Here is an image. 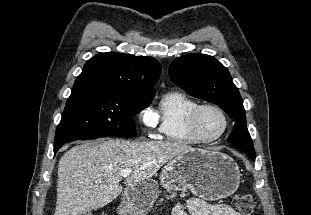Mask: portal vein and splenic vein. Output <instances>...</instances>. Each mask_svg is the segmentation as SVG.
<instances>
[{"instance_id": "portal-vein-and-splenic-vein-1", "label": "portal vein and splenic vein", "mask_w": 311, "mask_h": 215, "mask_svg": "<svg viewBox=\"0 0 311 215\" xmlns=\"http://www.w3.org/2000/svg\"><path fill=\"white\" fill-rule=\"evenodd\" d=\"M131 173H132L131 170H123V171L121 172V177L127 178V177L130 176Z\"/></svg>"}]
</instances>
